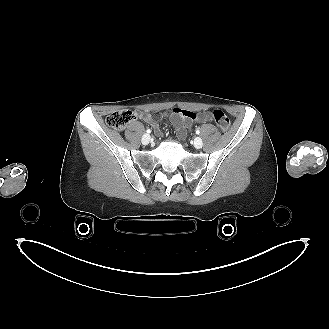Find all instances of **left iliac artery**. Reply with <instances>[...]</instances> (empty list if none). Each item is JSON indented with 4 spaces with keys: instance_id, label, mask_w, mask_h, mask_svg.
<instances>
[{
    "instance_id": "44dca946",
    "label": "left iliac artery",
    "mask_w": 329,
    "mask_h": 329,
    "mask_svg": "<svg viewBox=\"0 0 329 329\" xmlns=\"http://www.w3.org/2000/svg\"><path fill=\"white\" fill-rule=\"evenodd\" d=\"M196 134H200V130L199 129L196 130Z\"/></svg>"
}]
</instances>
